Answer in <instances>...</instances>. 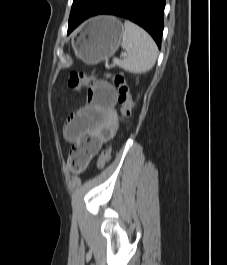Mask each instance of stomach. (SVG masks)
I'll use <instances>...</instances> for the list:
<instances>
[{"instance_id":"stomach-1","label":"stomach","mask_w":227,"mask_h":265,"mask_svg":"<svg viewBox=\"0 0 227 265\" xmlns=\"http://www.w3.org/2000/svg\"><path fill=\"white\" fill-rule=\"evenodd\" d=\"M123 33L124 28L115 17H95L77 37L75 53L86 64H96L116 52Z\"/></svg>"}]
</instances>
